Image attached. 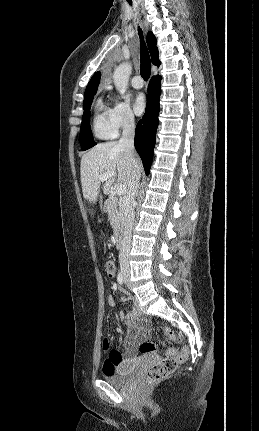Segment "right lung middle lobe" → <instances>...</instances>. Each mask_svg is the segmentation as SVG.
I'll return each instance as SVG.
<instances>
[{
    "label": "right lung middle lobe",
    "instance_id": "dd1d6c3e",
    "mask_svg": "<svg viewBox=\"0 0 259 431\" xmlns=\"http://www.w3.org/2000/svg\"><path fill=\"white\" fill-rule=\"evenodd\" d=\"M95 93L96 92H91L84 95V113L80 129V144L82 150H87L96 144L93 140L90 129V108Z\"/></svg>",
    "mask_w": 259,
    "mask_h": 431
}]
</instances>
